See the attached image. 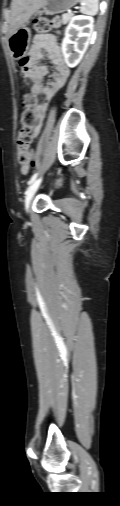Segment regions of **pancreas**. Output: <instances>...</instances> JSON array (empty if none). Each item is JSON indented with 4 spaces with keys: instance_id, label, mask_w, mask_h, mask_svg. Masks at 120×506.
Returning a JSON list of instances; mask_svg holds the SVG:
<instances>
[{
    "instance_id": "pancreas-1",
    "label": "pancreas",
    "mask_w": 120,
    "mask_h": 506,
    "mask_svg": "<svg viewBox=\"0 0 120 506\" xmlns=\"http://www.w3.org/2000/svg\"><path fill=\"white\" fill-rule=\"evenodd\" d=\"M72 19V14H63L62 15V23L67 24Z\"/></svg>"
}]
</instances>
